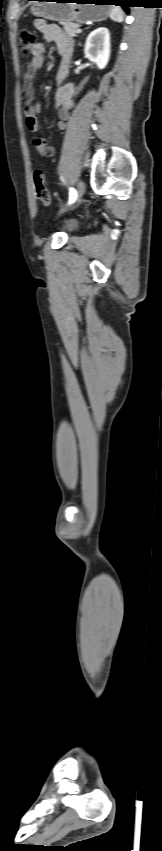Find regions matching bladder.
<instances>
[{
  "instance_id": "31cf9c89",
  "label": "bladder",
  "mask_w": 162,
  "mask_h": 851,
  "mask_svg": "<svg viewBox=\"0 0 162 851\" xmlns=\"http://www.w3.org/2000/svg\"><path fill=\"white\" fill-rule=\"evenodd\" d=\"M76 228L77 223L75 220H67L62 226V229L68 234L73 232Z\"/></svg>"
}]
</instances>
